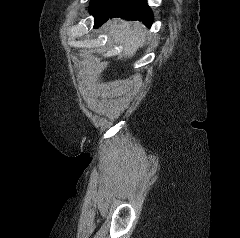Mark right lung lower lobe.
<instances>
[{
	"label": "right lung lower lobe",
	"instance_id": "obj_1",
	"mask_svg": "<svg viewBox=\"0 0 240 238\" xmlns=\"http://www.w3.org/2000/svg\"><path fill=\"white\" fill-rule=\"evenodd\" d=\"M110 17L142 21L148 27H150L153 22V13L146 0H125L116 11L97 22L96 26H100Z\"/></svg>",
	"mask_w": 240,
	"mask_h": 238
}]
</instances>
